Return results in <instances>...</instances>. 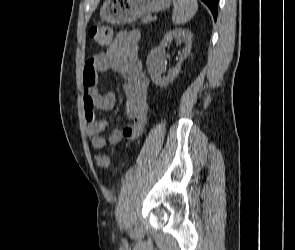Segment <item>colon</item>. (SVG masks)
<instances>
[{"instance_id":"1","label":"colon","mask_w":295,"mask_h":250,"mask_svg":"<svg viewBox=\"0 0 295 250\" xmlns=\"http://www.w3.org/2000/svg\"><path fill=\"white\" fill-rule=\"evenodd\" d=\"M90 38L101 46H107L112 41V31L109 27L104 25H94L89 29ZM108 158L105 155L97 157V163L100 167L106 168L108 166Z\"/></svg>"}]
</instances>
